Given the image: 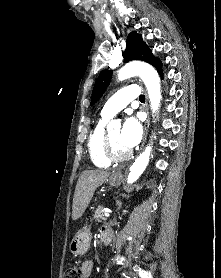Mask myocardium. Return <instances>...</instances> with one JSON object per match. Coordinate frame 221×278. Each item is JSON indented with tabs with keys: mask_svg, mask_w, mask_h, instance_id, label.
Instances as JSON below:
<instances>
[{
	"mask_svg": "<svg viewBox=\"0 0 221 278\" xmlns=\"http://www.w3.org/2000/svg\"><path fill=\"white\" fill-rule=\"evenodd\" d=\"M103 153L105 157L110 161V162H122L127 160L132 152L131 151H126L123 154H117L113 150V146L111 143L110 135L109 132H106L104 135V141H103Z\"/></svg>",
	"mask_w": 221,
	"mask_h": 278,
	"instance_id": "1",
	"label": "myocardium"
}]
</instances>
